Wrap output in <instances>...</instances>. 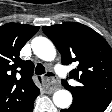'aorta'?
<instances>
[{
    "mask_svg": "<svg viewBox=\"0 0 112 112\" xmlns=\"http://www.w3.org/2000/svg\"><path fill=\"white\" fill-rule=\"evenodd\" d=\"M32 50L44 61H52L56 57V49L53 43L45 37H35L32 40ZM53 102L58 108L66 109L72 103V95L67 90H58L53 95Z\"/></svg>",
    "mask_w": 112,
    "mask_h": 112,
    "instance_id": "obj_1",
    "label": "aorta"
}]
</instances>
